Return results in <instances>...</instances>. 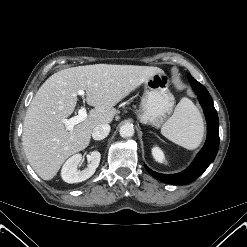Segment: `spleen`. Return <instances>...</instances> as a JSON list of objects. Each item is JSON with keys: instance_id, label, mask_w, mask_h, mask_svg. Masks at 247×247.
<instances>
[{"instance_id": "3e777b00", "label": "spleen", "mask_w": 247, "mask_h": 247, "mask_svg": "<svg viewBox=\"0 0 247 247\" xmlns=\"http://www.w3.org/2000/svg\"><path fill=\"white\" fill-rule=\"evenodd\" d=\"M161 133L170 141L189 150L202 142L204 124L198 108L184 97L177 104L173 115L163 124Z\"/></svg>"}]
</instances>
